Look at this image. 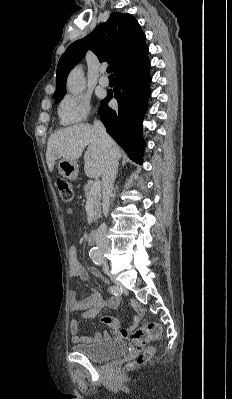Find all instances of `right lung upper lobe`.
Here are the masks:
<instances>
[{
    "mask_svg": "<svg viewBox=\"0 0 232 399\" xmlns=\"http://www.w3.org/2000/svg\"><path fill=\"white\" fill-rule=\"evenodd\" d=\"M92 50L99 61L112 64L115 73L121 66L148 53L145 34L137 20L126 13H112L105 23L99 24L83 39L70 44L61 56L56 70L54 95L66 92V79L70 70Z\"/></svg>",
    "mask_w": 232,
    "mask_h": 399,
    "instance_id": "1",
    "label": "right lung upper lobe"
}]
</instances>
